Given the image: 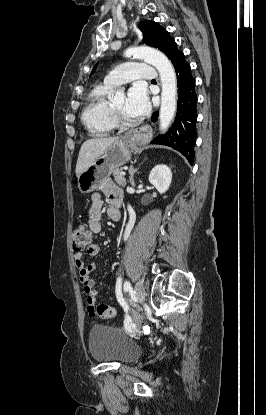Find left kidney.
<instances>
[{
    "instance_id": "obj_1",
    "label": "left kidney",
    "mask_w": 266,
    "mask_h": 415,
    "mask_svg": "<svg viewBox=\"0 0 266 415\" xmlns=\"http://www.w3.org/2000/svg\"><path fill=\"white\" fill-rule=\"evenodd\" d=\"M171 169L164 164L156 165L149 175V182L157 189L160 194L165 193L171 184Z\"/></svg>"
}]
</instances>
